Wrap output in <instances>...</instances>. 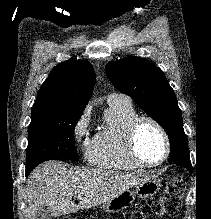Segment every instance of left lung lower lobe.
Returning a JSON list of instances; mask_svg holds the SVG:
<instances>
[{
	"label": "left lung lower lobe",
	"mask_w": 211,
	"mask_h": 219,
	"mask_svg": "<svg viewBox=\"0 0 211 219\" xmlns=\"http://www.w3.org/2000/svg\"><path fill=\"white\" fill-rule=\"evenodd\" d=\"M169 162L186 167L189 171L192 170L190 157H169Z\"/></svg>",
	"instance_id": "left-lung-lower-lobe-1"
}]
</instances>
